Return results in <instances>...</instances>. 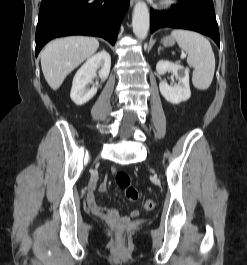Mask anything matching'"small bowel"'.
I'll use <instances>...</instances> for the list:
<instances>
[{"label": "small bowel", "mask_w": 247, "mask_h": 265, "mask_svg": "<svg viewBox=\"0 0 247 265\" xmlns=\"http://www.w3.org/2000/svg\"><path fill=\"white\" fill-rule=\"evenodd\" d=\"M107 186H108L107 180L105 179L103 183L99 186L98 192L101 194L105 193L107 191ZM87 201H88L89 208L92 210V212L106 220L118 221V220L128 219L127 217H120L117 210L108 209V208L99 206L96 203L94 190H92L89 193ZM138 215H139V211L133 210L130 214V217H137Z\"/></svg>", "instance_id": "obj_1"}]
</instances>
